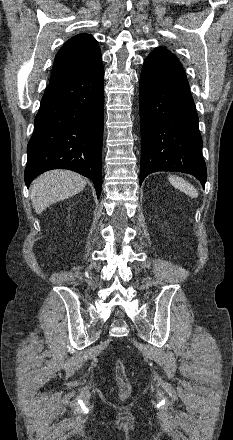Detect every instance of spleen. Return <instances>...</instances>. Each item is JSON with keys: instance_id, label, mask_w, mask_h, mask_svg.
I'll return each instance as SVG.
<instances>
[{"instance_id": "3e777b00", "label": "spleen", "mask_w": 233, "mask_h": 440, "mask_svg": "<svg viewBox=\"0 0 233 440\" xmlns=\"http://www.w3.org/2000/svg\"><path fill=\"white\" fill-rule=\"evenodd\" d=\"M170 183L180 191L184 192L191 198H197L198 197V191L197 189L191 185L189 182L184 180L181 177L178 176H170L169 178Z\"/></svg>"}]
</instances>
